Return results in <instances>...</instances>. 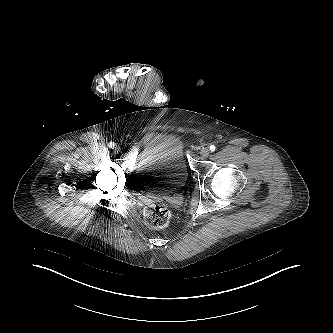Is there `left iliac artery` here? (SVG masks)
Returning <instances> with one entry per match:
<instances>
[{"instance_id":"obj_1","label":"left iliac artery","mask_w":333,"mask_h":333,"mask_svg":"<svg viewBox=\"0 0 333 333\" xmlns=\"http://www.w3.org/2000/svg\"><path fill=\"white\" fill-rule=\"evenodd\" d=\"M209 149H210L211 152H214V151L216 150V147H215L214 145H211V146L209 147Z\"/></svg>"}]
</instances>
